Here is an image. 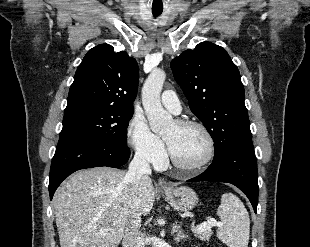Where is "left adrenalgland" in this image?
I'll list each match as a JSON object with an SVG mask.
<instances>
[{
    "instance_id": "1",
    "label": "left adrenal gland",
    "mask_w": 310,
    "mask_h": 247,
    "mask_svg": "<svg viewBox=\"0 0 310 247\" xmlns=\"http://www.w3.org/2000/svg\"><path fill=\"white\" fill-rule=\"evenodd\" d=\"M180 225L177 224H174L173 226V229H172V233L175 234V241L176 243H179L180 241L182 240H187L188 238V235L185 234L181 229H180Z\"/></svg>"
}]
</instances>
